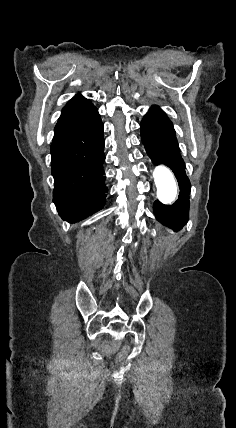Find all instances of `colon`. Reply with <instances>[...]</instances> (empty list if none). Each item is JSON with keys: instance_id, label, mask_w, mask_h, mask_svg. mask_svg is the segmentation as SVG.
<instances>
[{"instance_id": "1", "label": "colon", "mask_w": 236, "mask_h": 428, "mask_svg": "<svg viewBox=\"0 0 236 428\" xmlns=\"http://www.w3.org/2000/svg\"><path fill=\"white\" fill-rule=\"evenodd\" d=\"M130 347L128 345H125L118 353L117 358L119 361H123L129 354Z\"/></svg>"}]
</instances>
